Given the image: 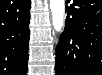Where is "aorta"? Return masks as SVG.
Listing matches in <instances>:
<instances>
[{
    "label": "aorta",
    "instance_id": "obj_1",
    "mask_svg": "<svg viewBox=\"0 0 102 75\" xmlns=\"http://www.w3.org/2000/svg\"><path fill=\"white\" fill-rule=\"evenodd\" d=\"M50 10L52 13V24L57 32H61L64 26L65 1L50 0Z\"/></svg>",
    "mask_w": 102,
    "mask_h": 75
}]
</instances>
